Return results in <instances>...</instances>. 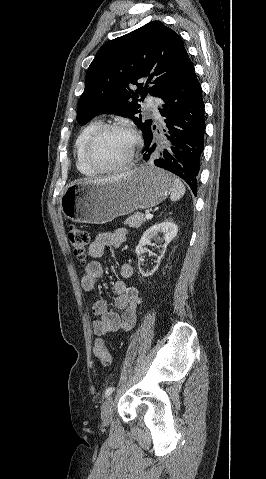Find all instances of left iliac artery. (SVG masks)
<instances>
[{"label": "left iliac artery", "instance_id": "1", "mask_svg": "<svg viewBox=\"0 0 266 479\" xmlns=\"http://www.w3.org/2000/svg\"><path fill=\"white\" fill-rule=\"evenodd\" d=\"M113 391H114V387H113V386L108 387V388L106 389V391H105V397H106V398L109 397V396L113 393Z\"/></svg>", "mask_w": 266, "mask_h": 479}]
</instances>
